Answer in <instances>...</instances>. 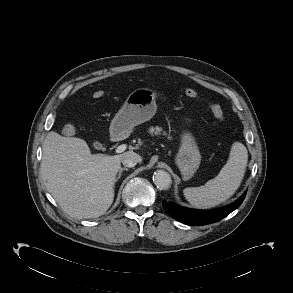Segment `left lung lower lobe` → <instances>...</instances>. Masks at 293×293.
Wrapping results in <instances>:
<instances>
[{
    "mask_svg": "<svg viewBox=\"0 0 293 293\" xmlns=\"http://www.w3.org/2000/svg\"><path fill=\"white\" fill-rule=\"evenodd\" d=\"M246 196V192L232 204L215 209V210H193L178 206L174 203L167 202L164 200L162 202L165 211L174 219L187 224V225H206L217 222L232 211L237 209L243 202Z\"/></svg>",
    "mask_w": 293,
    "mask_h": 293,
    "instance_id": "0a47b994",
    "label": "left lung lower lobe"
}]
</instances>
